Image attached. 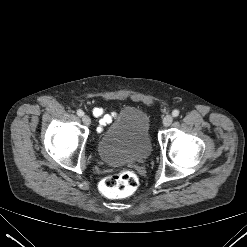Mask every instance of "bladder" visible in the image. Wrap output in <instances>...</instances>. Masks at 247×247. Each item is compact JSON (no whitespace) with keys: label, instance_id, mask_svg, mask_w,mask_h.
<instances>
[{"label":"bladder","instance_id":"31cf9c89","mask_svg":"<svg viewBox=\"0 0 247 247\" xmlns=\"http://www.w3.org/2000/svg\"><path fill=\"white\" fill-rule=\"evenodd\" d=\"M151 150L149 119L136 107L122 109L97 145L100 159L110 166L141 162Z\"/></svg>","mask_w":247,"mask_h":247}]
</instances>
